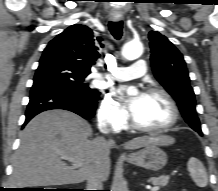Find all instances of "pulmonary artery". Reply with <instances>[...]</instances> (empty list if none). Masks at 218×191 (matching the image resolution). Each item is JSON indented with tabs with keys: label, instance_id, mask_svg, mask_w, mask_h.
Segmentation results:
<instances>
[{
	"label": "pulmonary artery",
	"instance_id": "1",
	"mask_svg": "<svg viewBox=\"0 0 218 191\" xmlns=\"http://www.w3.org/2000/svg\"><path fill=\"white\" fill-rule=\"evenodd\" d=\"M146 73V62L143 59H138L134 65L128 67H118L114 69L109 78L117 81H127L139 78ZM104 77V76H100Z\"/></svg>",
	"mask_w": 218,
	"mask_h": 191
}]
</instances>
